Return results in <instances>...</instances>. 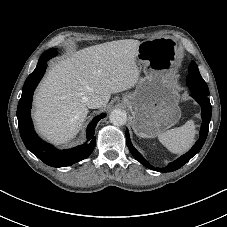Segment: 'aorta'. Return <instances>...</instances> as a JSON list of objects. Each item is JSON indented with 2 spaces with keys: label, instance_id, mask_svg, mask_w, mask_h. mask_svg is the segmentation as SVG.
Here are the masks:
<instances>
[{
  "label": "aorta",
  "instance_id": "762f6f07",
  "mask_svg": "<svg viewBox=\"0 0 227 227\" xmlns=\"http://www.w3.org/2000/svg\"><path fill=\"white\" fill-rule=\"evenodd\" d=\"M110 122L116 126L125 125L127 122V114L122 109H114L109 115Z\"/></svg>",
  "mask_w": 227,
  "mask_h": 227
}]
</instances>
